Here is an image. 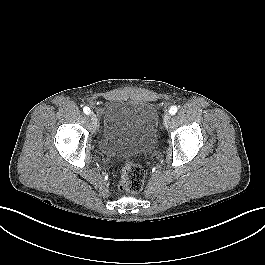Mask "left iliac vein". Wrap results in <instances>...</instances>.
<instances>
[{"mask_svg": "<svg viewBox=\"0 0 265 265\" xmlns=\"http://www.w3.org/2000/svg\"><path fill=\"white\" fill-rule=\"evenodd\" d=\"M170 120H171V114L165 113L164 116H163V125L165 127H168L169 124H170Z\"/></svg>", "mask_w": 265, "mask_h": 265, "instance_id": "4c4485c4", "label": "left iliac vein"}]
</instances>
